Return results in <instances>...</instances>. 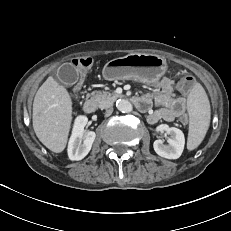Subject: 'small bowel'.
<instances>
[{"instance_id":"small-bowel-1","label":"small bowel","mask_w":231,"mask_h":231,"mask_svg":"<svg viewBox=\"0 0 231 231\" xmlns=\"http://www.w3.org/2000/svg\"><path fill=\"white\" fill-rule=\"evenodd\" d=\"M147 104L145 111H148L147 120L155 124L161 120L172 122L186 116V99L175 96V88L169 79H163L155 92L145 94L141 97ZM156 106V110H151Z\"/></svg>"}]
</instances>
